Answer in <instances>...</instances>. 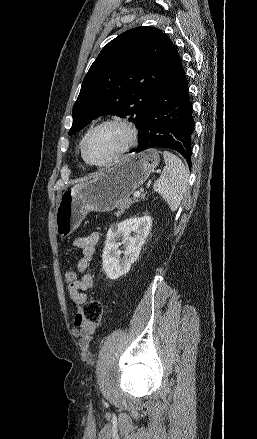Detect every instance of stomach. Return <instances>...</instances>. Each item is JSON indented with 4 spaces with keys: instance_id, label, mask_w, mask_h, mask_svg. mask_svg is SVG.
Masks as SVG:
<instances>
[{
    "instance_id": "stomach-1",
    "label": "stomach",
    "mask_w": 257,
    "mask_h": 439,
    "mask_svg": "<svg viewBox=\"0 0 257 439\" xmlns=\"http://www.w3.org/2000/svg\"><path fill=\"white\" fill-rule=\"evenodd\" d=\"M159 161L155 149L132 153L113 167L63 191L56 206V233L66 237L89 212H110L120 206L148 179Z\"/></svg>"
}]
</instances>
